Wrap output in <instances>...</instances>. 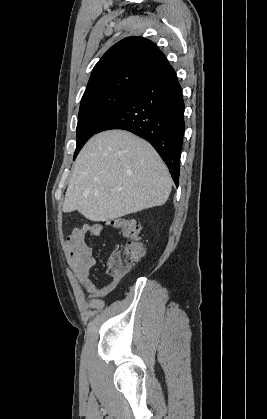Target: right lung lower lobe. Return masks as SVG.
<instances>
[{"instance_id": "1", "label": "right lung lower lobe", "mask_w": 267, "mask_h": 419, "mask_svg": "<svg viewBox=\"0 0 267 419\" xmlns=\"http://www.w3.org/2000/svg\"><path fill=\"white\" fill-rule=\"evenodd\" d=\"M123 129L147 140L167 164L178 186L185 131L182 89L172 66L142 83L97 130Z\"/></svg>"}]
</instances>
